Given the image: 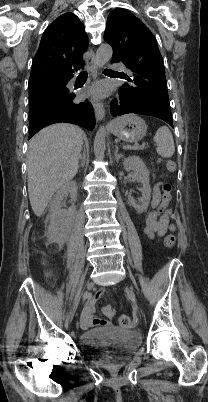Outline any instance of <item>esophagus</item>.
<instances>
[{
    "mask_svg": "<svg viewBox=\"0 0 208 402\" xmlns=\"http://www.w3.org/2000/svg\"><path fill=\"white\" fill-rule=\"evenodd\" d=\"M86 64H87V69L91 73L92 78L95 79L97 76V65H96L95 53L93 52V50H89V57H88ZM90 101L94 107L95 116H96L97 120H104L105 109H104L103 103L99 100H95L94 98H91Z\"/></svg>",
    "mask_w": 208,
    "mask_h": 402,
    "instance_id": "34e87169",
    "label": "esophagus"
}]
</instances>
